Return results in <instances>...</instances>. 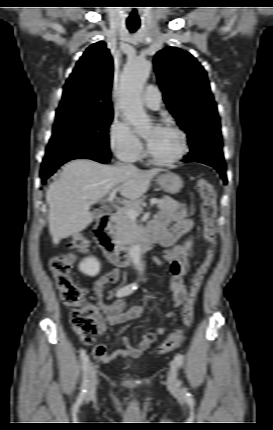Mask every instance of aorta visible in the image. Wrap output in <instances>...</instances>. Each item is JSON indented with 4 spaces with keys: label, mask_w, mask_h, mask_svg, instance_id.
Instances as JSON below:
<instances>
[{
    "label": "aorta",
    "mask_w": 273,
    "mask_h": 430,
    "mask_svg": "<svg viewBox=\"0 0 273 430\" xmlns=\"http://www.w3.org/2000/svg\"><path fill=\"white\" fill-rule=\"evenodd\" d=\"M152 63L148 59L136 58L130 61L123 73L120 83V103L126 120L142 134L150 127V118L146 114L140 96L143 86L149 77ZM142 252L138 244L130 248V260L136 269L141 270Z\"/></svg>",
    "instance_id": "aorta-1"
}]
</instances>
